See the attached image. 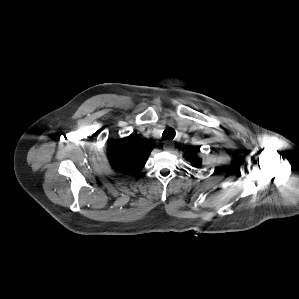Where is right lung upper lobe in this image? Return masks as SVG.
Wrapping results in <instances>:
<instances>
[{
  "mask_svg": "<svg viewBox=\"0 0 299 299\" xmlns=\"http://www.w3.org/2000/svg\"><path fill=\"white\" fill-rule=\"evenodd\" d=\"M150 152L151 146L134 136L111 141L107 149L112 167L128 175L137 174L143 169Z\"/></svg>",
  "mask_w": 299,
  "mask_h": 299,
  "instance_id": "1",
  "label": "right lung upper lobe"
}]
</instances>
